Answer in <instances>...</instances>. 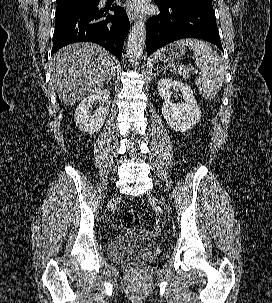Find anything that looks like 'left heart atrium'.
Returning a JSON list of instances; mask_svg holds the SVG:
<instances>
[{"instance_id":"obj_1","label":"left heart atrium","mask_w":272,"mask_h":303,"mask_svg":"<svg viewBox=\"0 0 272 303\" xmlns=\"http://www.w3.org/2000/svg\"><path fill=\"white\" fill-rule=\"evenodd\" d=\"M142 0H132L131 7L134 9H140L142 6Z\"/></svg>"}]
</instances>
